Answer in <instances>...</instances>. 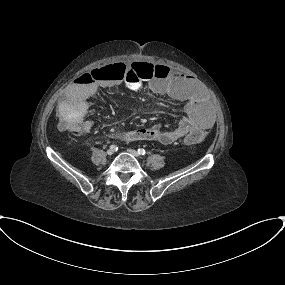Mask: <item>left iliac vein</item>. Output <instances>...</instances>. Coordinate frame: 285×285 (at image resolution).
<instances>
[{
  "label": "left iliac vein",
  "mask_w": 285,
  "mask_h": 285,
  "mask_svg": "<svg viewBox=\"0 0 285 285\" xmlns=\"http://www.w3.org/2000/svg\"><path fill=\"white\" fill-rule=\"evenodd\" d=\"M126 151L129 154H131L132 156H134L135 158H139L140 157L139 153L136 150H134V149H127Z\"/></svg>",
  "instance_id": "left-iliac-vein-1"
}]
</instances>
